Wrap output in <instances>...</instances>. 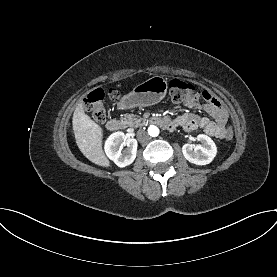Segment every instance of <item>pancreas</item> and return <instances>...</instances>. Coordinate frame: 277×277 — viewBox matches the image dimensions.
Instances as JSON below:
<instances>
[{
	"label": "pancreas",
	"mask_w": 277,
	"mask_h": 277,
	"mask_svg": "<svg viewBox=\"0 0 277 277\" xmlns=\"http://www.w3.org/2000/svg\"><path fill=\"white\" fill-rule=\"evenodd\" d=\"M125 123L129 127H139L144 125V123L142 122V119L135 115L126 116Z\"/></svg>",
	"instance_id": "pancreas-1"
}]
</instances>
